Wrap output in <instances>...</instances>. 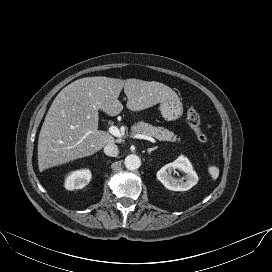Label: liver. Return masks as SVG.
<instances>
[{
    "label": "liver",
    "mask_w": 272,
    "mask_h": 272,
    "mask_svg": "<svg viewBox=\"0 0 272 272\" xmlns=\"http://www.w3.org/2000/svg\"><path fill=\"white\" fill-rule=\"evenodd\" d=\"M122 89L127 96L126 107L133 112L179 99L170 87L157 81L95 76L70 83L54 99L40 130V172L93 155L115 142L109 133L98 130V114L102 110L116 116L123 110L118 100Z\"/></svg>",
    "instance_id": "obj_1"
}]
</instances>
